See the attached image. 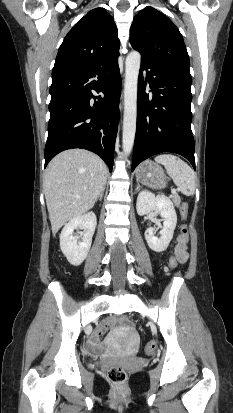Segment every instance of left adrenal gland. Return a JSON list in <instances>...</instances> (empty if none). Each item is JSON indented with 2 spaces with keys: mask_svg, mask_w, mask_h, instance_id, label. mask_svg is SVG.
I'll use <instances>...</instances> for the list:
<instances>
[{
  "mask_svg": "<svg viewBox=\"0 0 233 413\" xmlns=\"http://www.w3.org/2000/svg\"><path fill=\"white\" fill-rule=\"evenodd\" d=\"M140 188H141V186H140L139 182H137V187H136L135 192H138V190H139Z\"/></svg>",
  "mask_w": 233,
  "mask_h": 413,
  "instance_id": "obj_1",
  "label": "left adrenal gland"
}]
</instances>
